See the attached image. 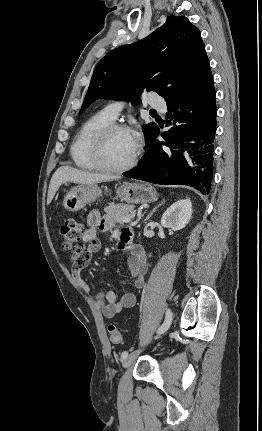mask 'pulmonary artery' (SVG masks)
I'll use <instances>...</instances> for the list:
<instances>
[{
    "label": "pulmonary artery",
    "mask_w": 262,
    "mask_h": 431,
    "mask_svg": "<svg viewBox=\"0 0 262 431\" xmlns=\"http://www.w3.org/2000/svg\"><path fill=\"white\" fill-rule=\"evenodd\" d=\"M150 105L162 111L166 110V104L164 99L158 95H154L150 99ZM123 106H124L123 102H120V101L112 102L105 107L104 111L111 119L115 120L120 115L123 109Z\"/></svg>",
    "instance_id": "obj_1"
}]
</instances>
